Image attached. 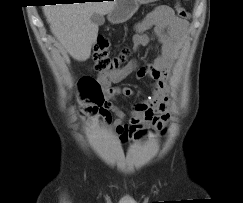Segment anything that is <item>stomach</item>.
Returning a JSON list of instances; mask_svg holds the SVG:
<instances>
[{"instance_id":"obj_1","label":"stomach","mask_w":243,"mask_h":203,"mask_svg":"<svg viewBox=\"0 0 243 203\" xmlns=\"http://www.w3.org/2000/svg\"><path fill=\"white\" fill-rule=\"evenodd\" d=\"M158 0H117L114 8L108 13V20L119 24L129 20L141 4H148Z\"/></svg>"}]
</instances>
